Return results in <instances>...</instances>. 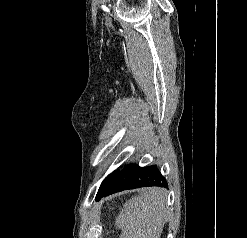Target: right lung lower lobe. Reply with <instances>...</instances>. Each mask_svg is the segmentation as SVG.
Segmentation results:
<instances>
[{"mask_svg": "<svg viewBox=\"0 0 247 238\" xmlns=\"http://www.w3.org/2000/svg\"><path fill=\"white\" fill-rule=\"evenodd\" d=\"M145 186H167L166 180L158 171L156 165L140 167L128 165L121 172H115L107 187L97 196L100 198L126 189Z\"/></svg>", "mask_w": 247, "mask_h": 238, "instance_id": "obj_1", "label": "right lung lower lobe"}]
</instances>
